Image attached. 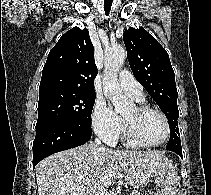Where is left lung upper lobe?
Listing matches in <instances>:
<instances>
[{"label": "left lung upper lobe", "mask_w": 211, "mask_h": 195, "mask_svg": "<svg viewBox=\"0 0 211 195\" xmlns=\"http://www.w3.org/2000/svg\"><path fill=\"white\" fill-rule=\"evenodd\" d=\"M123 40L135 78L146 89L168 119L170 139L167 150L182 149L178 128L179 111L175 75L169 55L144 28H129Z\"/></svg>", "instance_id": "left-lung-upper-lobe-1"}]
</instances>
